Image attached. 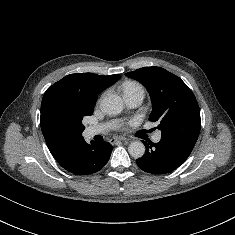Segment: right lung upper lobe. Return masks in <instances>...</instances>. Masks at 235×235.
Segmentation results:
<instances>
[{
  "mask_svg": "<svg viewBox=\"0 0 235 235\" xmlns=\"http://www.w3.org/2000/svg\"><path fill=\"white\" fill-rule=\"evenodd\" d=\"M119 78V74L101 76L93 73H76L65 76L46 90L41 103L40 125L49 151L55 158L61 156L82 137L64 138L57 133L51 123V114L55 106L71 99L95 103L98 94Z\"/></svg>",
  "mask_w": 235,
  "mask_h": 235,
  "instance_id": "1",
  "label": "right lung upper lobe"
}]
</instances>
